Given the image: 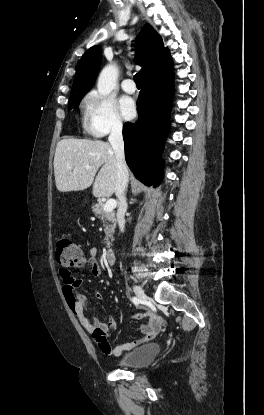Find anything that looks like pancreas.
I'll list each match as a JSON object with an SVG mask.
<instances>
[{"mask_svg": "<svg viewBox=\"0 0 264 415\" xmlns=\"http://www.w3.org/2000/svg\"><path fill=\"white\" fill-rule=\"evenodd\" d=\"M104 204L102 202H98L92 206L93 213L99 217L104 225H105V238L104 243L107 247L110 246L111 242L110 240L113 239V234L115 232V226H116V219H115V212L109 211L106 212L103 209Z\"/></svg>", "mask_w": 264, "mask_h": 415, "instance_id": "1", "label": "pancreas"}]
</instances>
